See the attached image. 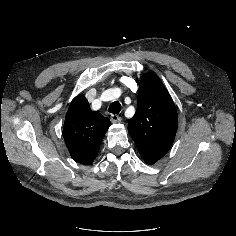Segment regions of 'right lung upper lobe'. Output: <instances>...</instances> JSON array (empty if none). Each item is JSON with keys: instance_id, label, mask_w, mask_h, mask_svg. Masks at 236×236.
<instances>
[{"instance_id": "cb5924a9", "label": "right lung upper lobe", "mask_w": 236, "mask_h": 236, "mask_svg": "<svg viewBox=\"0 0 236 236\" xmlns=\"http://www.w3.org/2000/svg\"><path fill=\"white\" fill-rule=\"evenodd\" d=\"M109 126L110 120L92 111L85 97H75L63 127V137L71 157L83 165L92 164Z\"/></svg>"}]
</instances>
